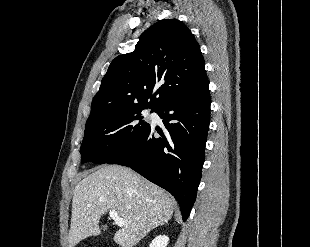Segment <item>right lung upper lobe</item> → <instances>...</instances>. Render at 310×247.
<instances>
[{
    "label": "right lung upper lobe",
    "instance_id": "cb5924a9",
    "mask_svg": "<svg viewBox=\"0 0 310 247\" xmlns=\"http://www.w3.org/2000/svg\"><path fill=\"white\" fill-rule=\"evenodd\" d=\"M204 64L199 44L181 21H158L143 32L133 52L111 62L87 122L133 108L157 110L207 81Z\"/></svg>",
    "mask_w": 310,
    "mask_h": 247
}]
</instances>
